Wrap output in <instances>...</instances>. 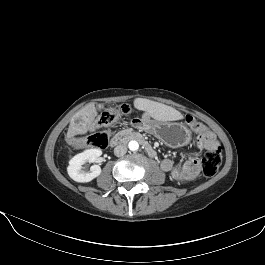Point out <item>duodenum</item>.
Here are the masks:
<instances>
[{"label":"duodenum","mask_w":265,"mask_h":265,"mask_svg":"<svg viewBox=\"0 0 265 265\" xmlns=\"http://www.w3.org/2000/svg\"><path fill=\"white\" fill-rule=\"evenodd\" d=\"M129 139H134L136 141H139L143 145L145 151L150 157L152 158L156 157L155 149L147 141H145L143 136L140 133L130 131V130H124L116 134L111 139V146L114 147V146L120 145Z\"/></svg>","instance_id":"obj_1"}]
</instances>
